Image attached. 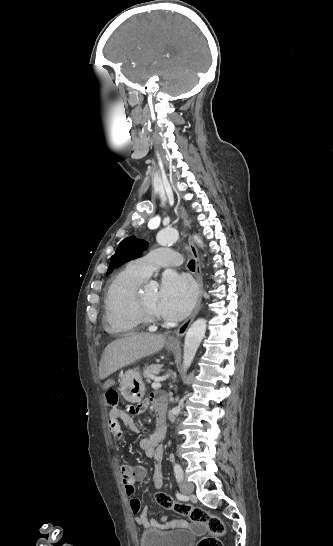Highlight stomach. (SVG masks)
Instances as JSON below:
<instances>
[{
  "label": "stomach",
  "mask_w": 333,
  "mask_h": 546,
  "mask_svg": "<svg viewBox=\"0 0 333 546\" xmlns=\"http://www.w3.org/2000/svg\"><path fill=\"white\" fill-rule=\"evenodd\" d=\"M170 351H175L177 347L167 344ZM120 392L130 403L141 402L145 393V384L141 374L137 370H127L120 381Z\"/></svg>",
  "instance_id": "obj_1"
}]
</instances>
